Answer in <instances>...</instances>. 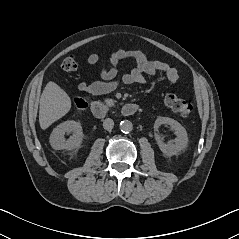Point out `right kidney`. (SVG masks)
<instances>
[{
	"mask_svg": "<svg viewBox=\"0 0 239 239\" xmlns=\"http://www.w3.org/2000/svg\"><path fill=\"white\" fill-rule=\"evenodd\" d=\"M66 133H73L68 140L64 137ZM82 139L83 132L81 124L74 120H68L53 129L49 141L52 148L55 150H72L80 146Z\"/></svg>",
	"mask_w": 239,
	"mask_h": 239,
	"instance_id": "1",
	"label": "right kidney"
}]
</instances>
